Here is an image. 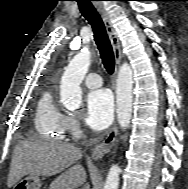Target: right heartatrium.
Masks as SVG:
<instances>
[{
    "label": "right heart atrium",
    "mask_w": 188,
    "mask_h": 189,
    "mask_svg": "<svg viewBox=\"0 0 188 189\" xmlns=\"http://www.w3.org/2000/svg\"><path fill=\"white\" fill-rule=\"evenodd\" d=\"M67 124H68V128L71 129L74 132H77L79 129V122L77 120V118L73 117V116H69L67 118Z\"/></svg>",
    "instance_id": "obj_1"
}]
</instances>
